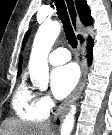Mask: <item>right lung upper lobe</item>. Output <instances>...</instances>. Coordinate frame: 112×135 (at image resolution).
Segmentation results:
<instances>
[{
	"mask_svg": "<svg viewBox=\"0 0 112 135\" xmlns=\"http://www.w3.org/2000/svg\"><path fill=\"white\" fill-rule=\"evenodd\" d=\"M76 7L81 18V21L86 26H90L93 23V19L90 14V8L88 7L86 0H75ZM78 38H81L79 35ZM22 67V56L20 57L19 65H18V75L21 74Z\"/></svg>",
	"mask_w": 112,
	"mask_h": 135,
	"instance_id": "obj_1",
	"label": "right lung upper lobe"
}]
</instances>
